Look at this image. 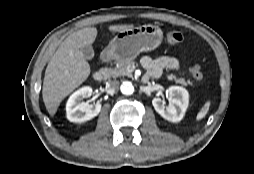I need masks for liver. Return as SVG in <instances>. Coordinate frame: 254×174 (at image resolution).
<instances>
[{"mask_svg": "<svg viewBox=\"0 0 254 174\" xmlns=\"http://www.w3.org/2000/svg\"><path fill=\"white\" fill-rule=\"evenodd\" d=\"M134 25H110L112 32L133 28ZM95 27H86L71 33L50 59L43 80L42 97L45 107L54 116L62 100L80 86L91 69L81 48L91 45L97 37Z\"/></svg>", "mask_w": 254, "mask_h": 174, "instance_id": "1", "label": "liver"}]
</instances>
